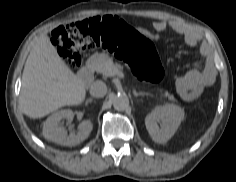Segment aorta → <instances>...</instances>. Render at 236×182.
Masks as SVG:
<instances>
[{
	"mask_svg": "<svg viewBox=\"0 0 236 182\" xmlns=\"http://www.w3.org/2000/svg\"><path fill=\"white\" fill-rule=\"evenodd\" d=\"M128 105H129V99L124 94L116 95L113 98V107L117 111H124L128 107Z\"/></svg>",
	"mask_w": 236,
	"mask_h": 182,
	"instance_id": "762f6f07",
	"label": "aorta"
}]
</instances>
